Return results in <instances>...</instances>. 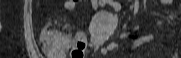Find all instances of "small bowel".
<instances>
[{
	"label": "small bowel",
	"mask_w": 181,
	"mask_h": 58,
	"mask_svg": "<svg viewBox=\"0 0 181 58\" xmlns=\"http://www.w3.org/2000/svg\"><path fill=\"white\" fill-rule=\"evenodd\" d=\"M80 2H81L80 0H66V1L64 2V9L67 10V11H73V10H75L76 7L80 4ZM91 2H92V5H93L95 8H97L98 6H100V5H102V4L104 3V1H97V0H91ZM168 2H169V0H162V4H167ZM111 6H112V8H113L115 11H119V10H120V4L117 3V2H112V3H111ZM76 37H77V38H78V37H81V38H84V39H85V36H84V34H82V33H76L73 38H76ZM153 38H154V35H153V34L147 35V36H145V37H143V38L138 39V40L135 42L134 46H135V47L140 46V45H142V44H144V43H147V42L153 40ZM117 46H118L117 43L109 44L108 46L102 47L101 50H100V52H101V54L105 55V54H107L108 52H110V51H112L113 49H115ZM178 57H179V56H178V54L176 53L175 56H174V58H178Z\"/></svg>",
	"instance_id": "c3829d8e"
}]
</instances>
